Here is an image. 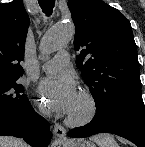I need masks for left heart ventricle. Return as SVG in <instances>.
Wrapping results in <instances>:
<instances>
[{
	"label": "left heart ventricle",
	"instance_id": "b2bd125f",
	"mask_svg": "<svg viewBox=\"0 0 145 147\" xmlns=\"http://www.w3.org/2000/svg\"><path fill=\"white\" fill-rule=\"evenodd\" d=\"M86 109L85 102L78 96L77 101L70 115H81Z\"/></svg>",
	"mask_w": 145,
	"mask_h": 147
}]
</instances>
